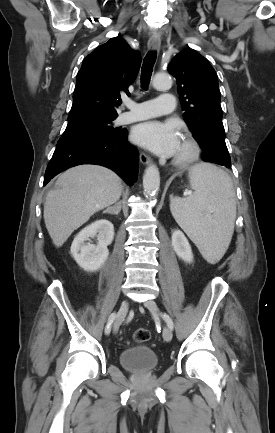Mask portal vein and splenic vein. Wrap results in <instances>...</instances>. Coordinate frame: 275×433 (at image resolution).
Segmentation results:
<instances>
[{
  "label": "portal vein and splenic vein",
  "mask_w": 275,
  "mask_h": 433,
  "mask_svg": "<svg viewBox=\"0 0 275 433\" xmlns=\"http://www.w3.org/2000/svg\"><path fill=\"white\" fill-rule=\"evenodd\" d=\"M191 193H192L191 191H186L184 194L185 195H191Z\"/></svg>",
  "instance_id": "obj_1"
}]
</instances>
